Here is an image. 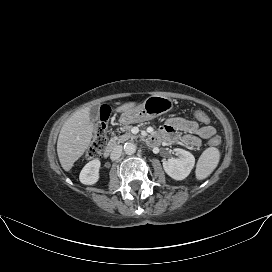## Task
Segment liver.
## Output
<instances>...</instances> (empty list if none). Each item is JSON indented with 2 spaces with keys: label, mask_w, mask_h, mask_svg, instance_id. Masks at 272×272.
Returning <instances> with one entry per match:
<instances>
[{
  "label": "liver",
  "mask_w": 272,
  "mask_h": 272,
  "mask_svg": "<svg viewBox=\"0 0 272 272\" xmlns=\"http://www.w3.org/2000/svg\"><path fill=\"white\" fill-rule=\"evenodd\" d=\"M135 102H127L115 109L116 112H125L134 108ZM89 109H81L73 113L63 124L58 141L57 154L60 164L65 171H69L90 145L93 124L89 117Z\"/></svg>",
  "instance_id": "1"
}]
</instances>
